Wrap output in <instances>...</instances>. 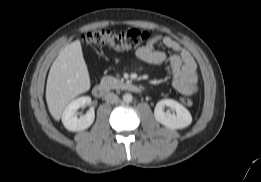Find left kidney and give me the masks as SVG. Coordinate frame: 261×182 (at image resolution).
Returning a JSON list of instances; mask_svg holds the SVG:
<instances>
[{
	"instance_id": "obj_1",
	"label": "left kidney",
	"mask_w": 261,
	"mask_h": 182,
	"mask_svg": "<svg viewBox=\"0 0 261 182\" xmlns=\"http://www.w3.org/2000/svg\"><path fill=\"white\" fill-rule=\"evenodd\" d=\"M165 106L175 110L176 114L164 112ZM154 116L157 122L169 129H183L192 122L190 112L183 105L172 99L160 100L154 109Z\"/></svg>"
}]
</instances>
